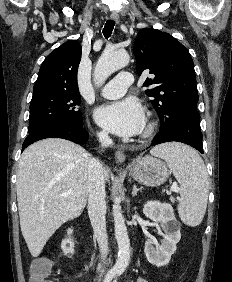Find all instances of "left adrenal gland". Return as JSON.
I'll return each instance as SVG.
<instances>
[{
  "label": "left adrenal gland",
  "instance_id": "left-adrenal-gland-1",
  "mask_svg": "<svg viewBox=\"0 0 232 282\" xmlns=\"http://www.w3.org/2000/svg\"><path fill=\"white\" fill-rule=\"evenodd\" d=\"M138 191H142V188H137V186L134 184L132 190V197H135Z\"/></svg>",
  "mask_w": 232,
  "mask_h": 282
}]
</instances>
